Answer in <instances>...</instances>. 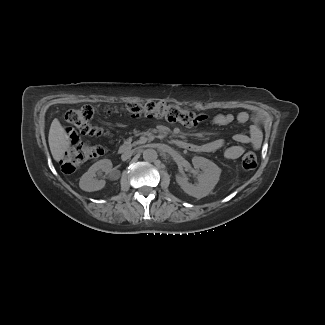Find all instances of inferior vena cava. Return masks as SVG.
I'll return each instance as SVG.
<instances>
[{"label": "inferior vena cava", "instance_id": "1", "mask_svg": "<svg viewBox=\"0 0 325 325\" xmlns=\"http://www.w3.org/2000/svg\"><path fill=\"white\" fill-rule=\"evenodd\" d=\"M132 156V152H126L124 154H122L121 158L122 160H127Z\"/></svg>", "mask_w": 325, "mask_h": 325}]
</instances>
